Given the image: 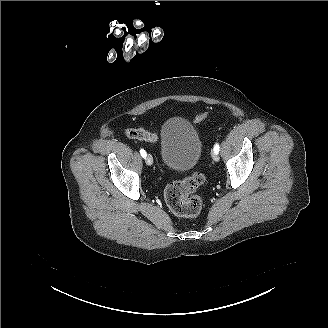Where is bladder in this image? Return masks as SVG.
I'll return each instance as SVG.
<instances>
[{"label":"bladder","mask_w":328,"mask_h":328,"mask_svg":"<svg viewBox=\"0 0 328 328\" xmlns=\"http://www.w3.org/2000/svg\"><path fill=\"white\" fill-rule=\"evenodd\" d=\"M186 122L167 119L163 122L162 139L160 140L163 163L170 169L181 172L194 167L199 159L200 137L197 131L191 135L182 133Z\"/></svg>","instance_id":"obj_1"}]
</instances>
